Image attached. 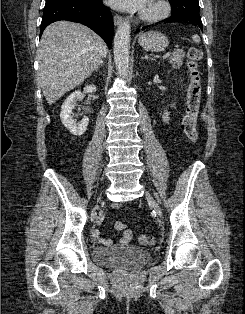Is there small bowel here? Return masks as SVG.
<instances>
[{
  "instance_id": "small-bowel-1",
  "label": "small bowel",
  "mask_w": 245,
  "mask_h": 314,
  "mask_svg": "<svg viewBox=\"0 0 245 314\" xmlns=\"http://www.w3.org/2000/svg\"><path fill=\"white\" fill-rule=\"evenodd\" d=\"M163 119L165 122H168L169 114L167 110H165L163 113ZM121 224L122 223L119 222L115 225L117 230H123V234L120 238V243L124 245L129 244L133 239V233L131 230L125 229V225L123 227H120ZM93 236L104 246H110L112 244V241L110 239L102 237L98 230H95L93 232Z\"/></svg>"
}]
</instances>
